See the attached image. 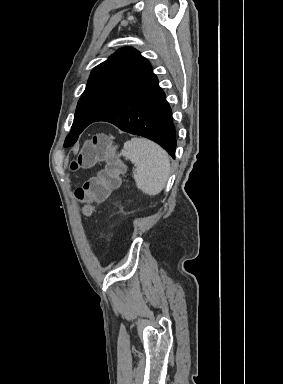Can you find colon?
Instances as JSON below:
<instances>
[{
	"label": "colon",
	"mask_w": 283,
	"mask_h": 384,
	"mask_svg": "<svg viewBox=\"0 0 283 384\" xmlns=\"http://www.w3.org/2000/svg\"><path fill=\"white\" fill-rule=\"evenodd\" d=\"M103 161L106 162L105 168L97 176L85 181L75 191L76 198L82 205V211L85 214H90L92 202L106 200L110 192L119 186L120 175L123 173L124 167L116 156V148L111 139L104 133L94 134L71 164V169L89 168Z\"/></svg>",
	"instance_id": "5ec220e1"
}]
</instances>
